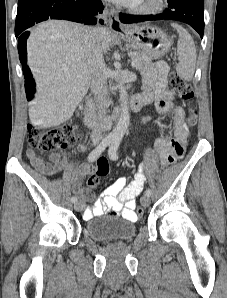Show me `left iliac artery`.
Here are the masks:
<instances>
[{
    "instance_id": "44dca946",
    "label": "left iliac artery",
    "mask_w": 227,
    "mask_h": 298,
    "mask_svg": "<svg viewBox=\"0 0 227 298\" xmlns=\"http://www.w3.org/2000/svg\"><path fill=\"white\" fill-rule=\"evenodd\" d=\"M120 141H121L120 138H115L113 140L109 150H108L109 157L112 160H117L118 159L117 151H118V148H119V145H120ZM145 194L150 196L151 195V190L149 188L146 189Z\"/></svg>"
}]
</instances>
